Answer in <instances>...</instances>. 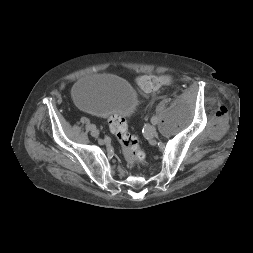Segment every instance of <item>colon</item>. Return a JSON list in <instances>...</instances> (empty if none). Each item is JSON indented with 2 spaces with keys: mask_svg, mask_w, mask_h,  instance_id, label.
I'll return each mask as SVG.
<instances>
[{
  "mask_svg": "<svg viewBox=\"0 0 253 253\" xmlns=\"http://www.w3.org/2000/svg\"><path fill=\"white\" fill-rule=\"evenodd\" d=\"M172 81L168 75L154 76L144 75L137 79L140 88L146 92L158 89L163 85H168ZM109 128L112 134L125 150L128 161L137 165L145 160V154L139 145V139L136 135L129 132L127 121L124 117L113 116L109 121Z\"/></svg>",
  "mask_w": 253,
  "mask_h": 253,
  "instance_id": "obj_1",
  "label": "colon"
}]
</instances>
